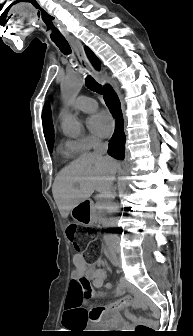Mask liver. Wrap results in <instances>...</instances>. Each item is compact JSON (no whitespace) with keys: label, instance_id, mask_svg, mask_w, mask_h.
Returning <instances> with one entry per match:
<instances>
[{"label":"liver","instance_id":"obj_1","mask_svg":"<svg viewBox=\"0 0 193 336\" xmlns=\"http://www.w3.org/2000/svg\"><path fill=\"white\" fill-rule=\"evenodd\" d=\"M117 162L95 153H84L56 176L52 193L62 218L72 208L90 198L96 190L100 195L110 192L108 178L116 172Z\"/></svg>","mask_w":193,"mask_h":336}]
</instances>
